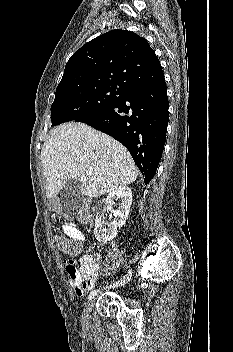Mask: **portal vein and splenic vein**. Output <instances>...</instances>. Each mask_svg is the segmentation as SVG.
Here are the masks:
<instances>
[{"label":"portal vein and splenic vein","instance_id":"obj_1","mask_svg":"<svg viewBox=\"0 0 233 352\" xmlns=\"http://www.w3.org/2000/svg\"><path fill=\"white\" fill-rule=\"evenodd\" d=\"M86 173H87L88 175H90V174H91V170H87Z\"/></svg>","mask_w":233,"mask_h":352}]
</instances>
